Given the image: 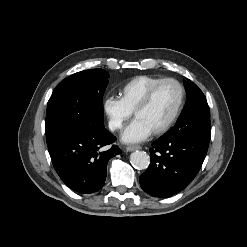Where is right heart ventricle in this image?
Returning <instances> with one entry per match:
<instances>
[{"instance_id":"1","label":"right heart ventricle","mask_w":247,"mask_h":247,"mask_svg":"<svg viewBox=\"0 0 247 247\" xmlns=\"http://www.w3.org/2000/svg\"><path fill=\"white\" fill-rule=\"evenodd\" d=\"M164 79L160 76L139 75L127 81L120 88V98L125 106L133 112L149 89Z\"/></svg>"}]
</instances>
